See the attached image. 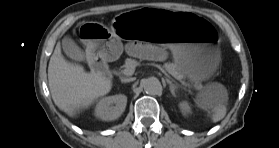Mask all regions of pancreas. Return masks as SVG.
I'll list each match as a JSON object with an SVG mask.
<instances>
[{
	"label": "pancreas",
	"instance_id": "obj_1",
	"mask_svg": "<svg viewBox=\"0 0 279 148\" xmlns=\"http://www.w3.org/2000/svg\"><path fill=\"white\" fill-rule=\"evenodd\" d=\"M139 63H137V61H135L134 59H126L125 64H124V69H130L133 68L134 66H138ZM163 67L165 68V70L171 74L174 78H176L177 80H182L183 79V74L181 73L178 65L176 63H165L163 65ZM135 69V68H134Z\"/></svg>",
	"mask_w": 279,
	"mask_h": 148
}]
</instances>
